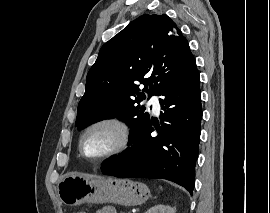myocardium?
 <instances>
[{"label":"myocardium","mask_w":270,"mask_h":213,"mask_svg":"<svg viewBox=\"0 0 270 213\" xmlns=\"http://www.w3.org/2000/svg\"><path fill=\"white\" fill-rule=\"evenodd\" d=\"M98 127H111L115 129L119 134V141L113 148L108 150L106 153L98 157H90L85 153L83 149V142L86 135L90 131ZM129 137H130L129 128L123 120L117 117H113V116H104V117H100L93 120L83 129V131L81 132L79 136L78 149L81 156L85 158L86 160L92 161V162H102L124 151V149L127 147L129 143Z\"/></svg>","instance_id":"myocardium-1"}]
</instances>
